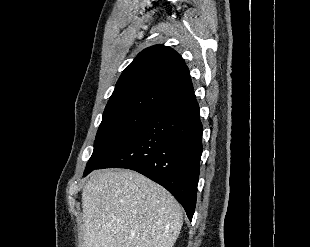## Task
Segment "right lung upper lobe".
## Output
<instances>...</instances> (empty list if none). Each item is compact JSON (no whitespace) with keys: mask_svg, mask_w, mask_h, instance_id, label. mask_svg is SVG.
Listing matches in <instances>:
<instances>
[{"mask_svg":"<svg viewBox=\"0 0 310 247\" xmlns=\"http://www.w3.org/2000/svg\"><path fill=\"white\" fill-rule=\"evenodd\" d=\"M194 94L188 67L172 48L154 45L122 72L105 113L148 106L159 111Z\"/></svg>","mask_w":310,"mask_h":247,"instance_id":"cb5924a9","label":"right lung upper lobe"}]
</instances>
